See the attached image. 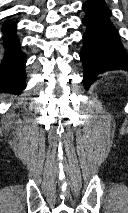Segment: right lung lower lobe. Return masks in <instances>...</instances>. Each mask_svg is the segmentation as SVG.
Segmentation results:
<instances>
[{
  "label": "right lung lower lobe",
  "instance_id": "right-lung-lower-lobe-1",
  "mask_svg": "<svg viewBox=\"0 0 128 213\" xmlns=\"http://www.w3.org/2000/svg\"><path fill=\"white\" fill-rule=\"evenodd\" d=\"M15 29V23L6 22L3 26L6 56L0 65L1 90L21 91L25 88L26 55L20 50Z\"/></svg>",
  "mask_w": 128,
  "mask_h": 213
}]
</instances>
